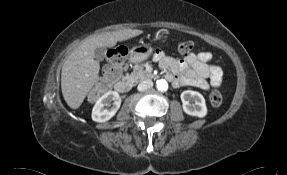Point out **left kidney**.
<instances>
[{
  "label": "left kidney",
  "mask_w": 287,
  "mask_h": 175,
  "mask_svg": "<svg viewBox=\"0 0 287 175\" xmlns=\"http://www.w3.org/2000/svg\"><path fill=\"white\" fill-rule=\"evenodd\" d=\"M183 111L191 116L204 117L207 107L203 95L197 91L186 90L181 93Z\"/></svg>",
  "instance_id": "1"
}]
</instances>
